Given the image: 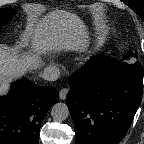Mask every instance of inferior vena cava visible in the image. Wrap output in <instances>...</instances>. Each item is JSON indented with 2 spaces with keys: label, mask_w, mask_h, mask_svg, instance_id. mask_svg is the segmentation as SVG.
I'll return each mask as SVG.
<instances>
[{
  "label": "inferior vena cava",
  "mask_w": 144,
  "mask_h": 144,
  "mask_svg": "<svg viewBox=\"0 0 144 144\" xmlns=\"http://www.w3.org/2000/svg\"><path fill=\"white\" fill-rule=\"evenodd\" d=\"M60 76V70L57 67H46L42 73V77L48 81H55Z\"/></svg>",
  "instance_id": "inferior-vena-cava-1"
}]
</instances>
